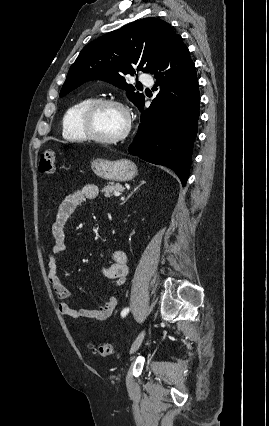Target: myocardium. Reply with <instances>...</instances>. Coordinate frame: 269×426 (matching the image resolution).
Segmentation results:
<instances>
[{
    "label": "myocardium",
    "mask_w": 269,
    "mask_h": 426,
    "mask_svg": "<svg viewBox=\"0 0 269 426\" xmlns=\"http://www.w3.org/2000/svg\"><path fill=\"white\" fill-rule=\"evenodd\" d=\"M102 106H114L119 108L125 115L126 123L125 127L120 134L112 138H104L95 133L92 126V119L95 112ZM82 128L88 139L101 144H117L127 138L131 131L132 119L127 107L118 100L110 98H99L94 99L84 110L81 117Z\"/></svg>",
    "instance_id": "f54148a6"
}]
</instances>
